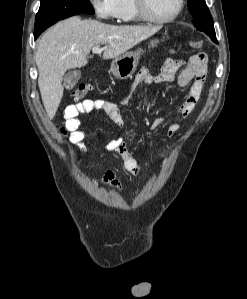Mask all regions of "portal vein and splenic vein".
Segmentation results:
<instances>
[{
  "mask_svg": "<svg viewBox=\"0 0 247 299\" xmlns=\"http://www.w3.org/2000/svg\"><path fill=\"white\" fill-rule=\"evenodd\" d=\"M104 49H105V47H103V48H100V47H93V48H92V52H93V53H101Z\"/></svg>",
  "mask_w": 247,
  "mask_h": 299,
  "instance_id": "1",
  "label": "portal vein and splenic vein"
}]
</instances>
